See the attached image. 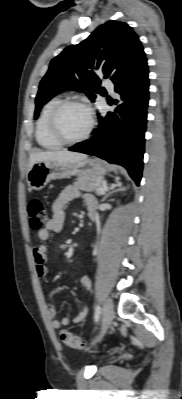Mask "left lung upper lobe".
Returning <instances> with one entry per match:
<instances>
[{"instance_id": "obj_1", "label": "left lung upper lobe", "mask_w": 182, "mask_h": 399, "mask_svg": "<svg viewBox=\"0 0 182 399\" xmlns=\"http://www.w3.org/2000/svg\"><path fill=\"white\" fill-rule=\"evenodd\" d=\"M146 61L139 37L126 23L108 21L100 25L87 39L68 46L52 59L39 85L34 118L62 91L84 92L93 102L95 93L101 90L98 72L117 85Z\"/></svg>"}]
</instances>
